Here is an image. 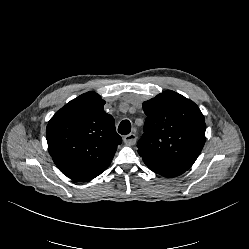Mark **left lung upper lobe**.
<instances>
[{
    "label": "left lung upper lobe",
    "mask_w": 249,
    "mask_h": 249,
    "mask_svg": "<svg viewBox=\"0 0 249 249\" xmlns=\"http://www.w3.org/2000/svg\"><path fill=\"white\" fill-rule=\"evenodd\" d=\"M143 110L147 117L137 146L144 163L188 170L205 143L206 124L198 106L167 90L145 101Z\"/></svg>",
    "instance_id": "obj_1"
}]
</instances>
